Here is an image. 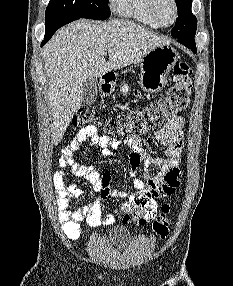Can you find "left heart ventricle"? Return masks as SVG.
I'll list each match as a JSON object with an SVG mask.
<instances>
[{
    "label": "left heart ventricle",
    "instance_id": "1",
    "mask_svg": "<svg viewBox=\"0 0 233 286\" xmlns=\"http://www.w3.org/2000/svg\"><path fill=\"white\" fill-rule=\"evenodd\" d=\"M156 11L161 22L168 24L173 20L174 8L170 0H158Z\"/></svg>",
    "mask_w": 233,
    "mask_h": 286
}]
</instances>
